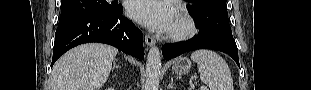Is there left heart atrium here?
Listing matches in <instances>:
<instances>
[{
    "mask_svg": "<svg viewBox=\"0 0 311 90\" xmlns=\"http://www.w3.org/2000/svg\"><path fill=\"white\" fill-rule=\"evenodd\" d=\"M128 11L139 24L161 32L169 31L175 16L173 9L162 0H132Z\"/></svg>",
    "mask_w": 311,
    "mask_h": 90,
    "instance_id": "1",
    "label": "left heart atrium"
}]
</instances>
